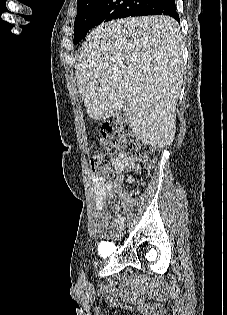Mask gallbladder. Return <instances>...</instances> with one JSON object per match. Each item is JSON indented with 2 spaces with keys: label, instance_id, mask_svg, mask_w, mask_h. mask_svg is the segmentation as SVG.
I'll return each mask as SVG.
<instances>
[{
  "label": "gallbladder",
  "instance_id": "gallbladder-1",
  "mask_svg": "<svg viewBox=\"0 0 227 315\" xmlns=\"http://www.w3.org/2000/svg\"><path fill=\"white\" fill-rule=\"evenodd\" d=\"M117 121L121 123H125L127 121V116L125 111H122L118 116H117Z\"/></svg>",
  "mask_w": 227,
  "mask_h": 315
}]
</instances>
